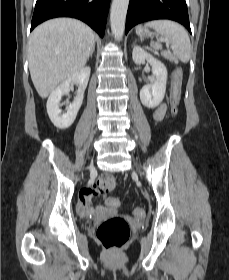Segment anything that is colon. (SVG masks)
<instances>
[{
    "mask_svg": "<svg viewBox=\"0 0 229 280\" xmlns=\"http://www.w3.org/2000/svg\"><path fill=\"white\" fill-rule=\"evenodd\" d=\"M182 89V72L176 70L172 77V89L170 95L171 115L176 116L179 112ZM103 189H112L116 185V179L111 174H103L99 181ZM115 205H119V199L114 200ZM134 214L138 217L143 216V211L139 208L134 210ZM97 239L109 252H119L130 236L129 223L122 217H111L103 221L96 232Z\"/></svg>",
    "mask_w": 229,
    "mask_h": 280,
    "instance_id": "5ec220e1",
    "label": "colon"
}]
</instances>
